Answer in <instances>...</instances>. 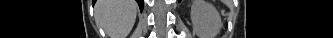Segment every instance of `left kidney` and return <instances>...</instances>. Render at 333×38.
Here are the masks:
<instances>
[{"mask_svg":"<svg viewBox=\"0 0 333 38\" xmlns=\"http://www.w3.org/2000/svg\"><path fill=\"white\" fill-rule=\"evenodd\" d=\"M191 21L199 38H214L222 28L216 8L204 0H194L191 6Z\"/></svg>","mask_w":333,"mask_h":38,"instance_id":"5707ae66","label":"left kidney"}]
</instances>
